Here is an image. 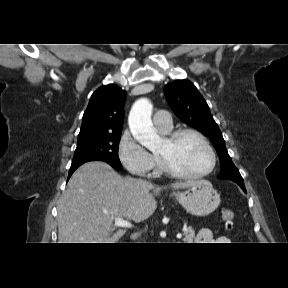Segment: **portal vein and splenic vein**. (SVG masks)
Masks as SVG:
<instances>
[{"label":"portal vein and splenic vein","instance_id":"18ae733b","mask_svg":"<svg viewBox=\"0 0 288 288\" xmlns=\"http://www.w3.org/2000/svg\"><path fill=\"white\" fill-rule=\"evenodd\" d=\"M115 221V225L118 227H123V228H131L132 224L124 219L118 218V217H113ZM182 237L181 233L177 234V238L180 239Z\"/></svg>","mask_w":288,"mask_h":288}]
</instances>
